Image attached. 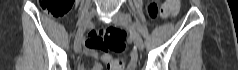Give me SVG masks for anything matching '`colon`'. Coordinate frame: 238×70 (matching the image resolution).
I'll list each match as a JSON object with an SVG mask.
<instances>
[{"label": "colon", "mask_w": 238, "mask_h": 70, "mask_svg": "<svg viewBox=\"0 0 238 70\" xmlns=\"http://www.w3.org/2000/svg\"><path fill=\"white\" fill-rule=\"evenodd\" d=\"M71 0H42V8L53 17H62L71 8ZM180 8V0H167L163 7L155 1L148 4V14L152 19H156L160 13L164 15L174 14ZM126 33L118 28L110 27L100 31L99 44L101 47L112 51H122L125 48L124 40ZM125 61L123 59H114L108 63L109 70H123Z\"/></svg>", "instance_id": "1"}]
</instances>
